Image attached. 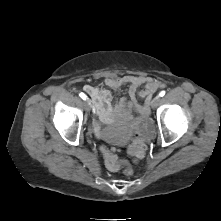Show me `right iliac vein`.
I'll return each instance as SVG.
<instances>
[{"instance_id": "63e3f726", "label": "right iliac vein", "mask_w": 221, "mask_h": 221, "mask_svg": "<svg viewBox=\"0 0 221 221\" xmlns=\"http://www.w3.org/2000/svg\"><path fill=\"white\" fill-rule=\"evenodd\" d=\"M84 109H85V111H86V112H89V111H90V109H91V107H90V104H89V101H88V100L84 102Z\"/></svg>"}]
</instances>
